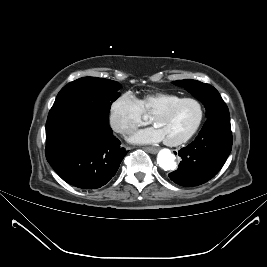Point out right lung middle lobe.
<instances>
[{"mask_svg": "<svg viewBox=\"0 0 267 267\" xmlns=\"http://www.w3.org/2000/svg\"><path fill=\"white\" fill-rule=\"evenodd\" d=\"M121 88L116 81L97 77H83L64 86L48 114V119L69 110L95 113L109 120L111 103Z\"/></svg>", "mask_w": 267, "mask_h": 267, "instance_id": "right-lung-middle-lobe-1", "label": "right lung middle lobe"}]
</instances>
